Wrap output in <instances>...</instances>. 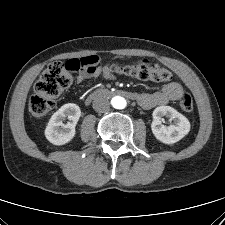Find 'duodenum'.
<instances>
[{
	"mask_svg": "<svg viewBox=\"0 0 225 225\" xmlns=\"http://www.w3.org/2000/svg\"><path fill=\"white\" fill-rule=\"evenodd\" d=\"M121 95L127 98H137V95L126 90H108V89H98L92 92L86 99V104L89 105L92 101L105 96Z\"/></svg>",
	"mask_w": 225,
	"mask_h": 225,
	"instance_id": "obj_1",
	"label": "duodenum"
}]
</instances>
